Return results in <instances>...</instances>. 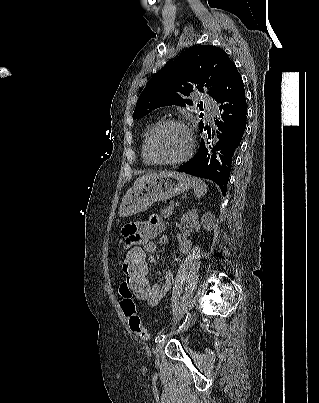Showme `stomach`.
Wrapping results in <instances>:
<instances>
[{"label":"stomach","mask_w":319,"mask_h":403,"mask_svg":"<svg viewBox=\"0 0 319 403\" xmlns=\"http://www.w3.org/2000/svg\"><path fill=\"white\" fill-rule=\"evenodd\" d=\"M193 178L178 172H163L134 185L120 205L121 216L147 210L154 202H163L193 187Z\"/></svg>","instance_id":"stomach-1"}]
</instances>
